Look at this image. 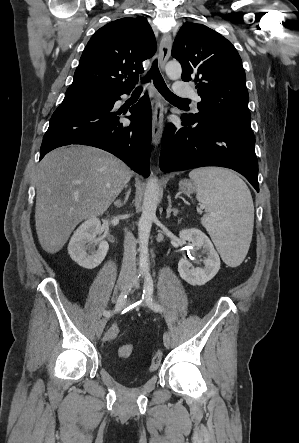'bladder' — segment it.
Here are the masks:
<instances>
[{"mask_svg":"<svg viewBox=\"0 0 299 443\" xmlns=\"http://www.w3.org/2000/svg\"><path fill=\"white\" fill-rule=\"evenodd\" d=\"M120 378L128 385H138L146 380L147 375L136 372H128L121 374Z\"/></svg>","mask_w":299,"mask_h":443,"instance_id":"bladder-1","label":"bladder"}]
</instances>
